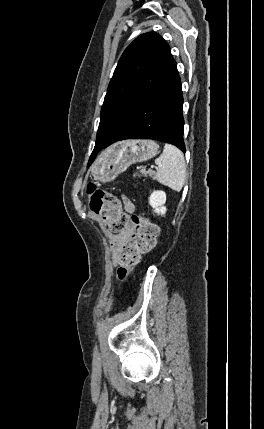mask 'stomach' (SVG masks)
Masks as SVG:
<instances>
[{"mask_svg":"<svg viewBox=\"0 0 264 429\" xmlns=\"http://www.w3.org/2000/svg\"><path fill=\"white\" fill-rule=\"evenodd\" d=\"M159 145L153 140L133 139L118 142L106 149L94 162L91 175L97 181H113L131 164L153 158Z\"/></svg>","mask_w":264,"mask_h":429,"instance_id":"stomach-1","label":"stomach"}]
</instances>
